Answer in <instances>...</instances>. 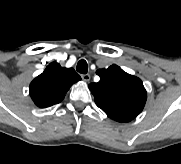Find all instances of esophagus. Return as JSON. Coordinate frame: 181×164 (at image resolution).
<instances>
[{
	"mask_svg": "<svg viewBox=\"0 0 181 164\" xmlns=\"http://www.w3.org/2000/svg\"><path fill=\"white\" fill-rule=\"evenodd\" d=\"M81 78H82L85 82H88L91 77H90L89 74H82V75H81Z\"/></svg>",
	"mask_w": 181,
	"mask_h": 164,
	"instance_id": "obj_1",
	"label": "esophagus"
}]
</instances>
